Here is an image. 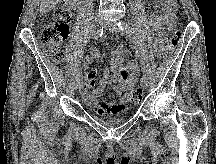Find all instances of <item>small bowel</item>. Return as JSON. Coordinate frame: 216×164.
Wrapping results in <instances>:
<instances>
[{
	"instance_id": "small-bowel-1",
	"label": "small bowel",
	"mask_w": 216,
	"mask_h": 164,
	"mask_svg": "<svg viewBox=\"0 0 216 164\" xmlns=\"http://www.w3.org/2000/svg\"><path fill=\"white\" fill-rule=\"evenodd\" d=\"M156 16L152 19L154 32V48L157 56L162 55L165 35L170 25L174 21L176 10V0H155ZM93 57H99L96 48L91 49ZM126 58V51L119 45L111 54L110 67L113 71L112 89L114 93L121 97L118 103L106 102L102 100L105 89L108 86V77L105 75L100 85L92 90L94 85V73L88 74L80 82L81 96L89 109L101 116L114 115L123 112L127 108V92L135 85L139 75V67L136 60H129L127 66L122 65Z\"/></svg>"
}]
</instances>
